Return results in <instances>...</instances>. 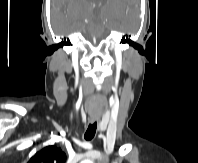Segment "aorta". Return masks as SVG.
Here are the masks:
<instances>
[{"label":"aorta","mask_w":198,"mask_h":163,"mask_svg":"<svg viewBox=\"0 0 198 163\" xmlns=\"http://www.w3.org/2000/svg\"><path fill=\"white\" fill-rule=\"evenodd\" d=\"M80 163H93L92 160H82Z\"/></svg>","instance_id":"762f6f07"}]
</instances>
